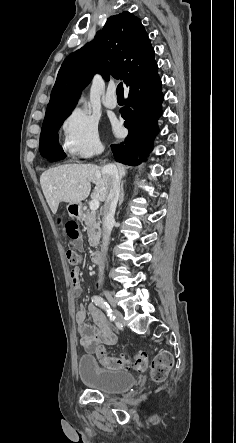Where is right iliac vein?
I'll return each mask as SVG.
<instances>
[{
  "label": "right iliac vein",
  "instance_id": "63e3f726",
  "mask_svg": "<svg viewBox=\"0 0 236 443\" xmlns=\"http://www.w3.org/2000/svg\"><path fill=\"white\" fill-rule=\"evenodd\" d=\"M114 314L118 320H120V321L123 320V315L121 312H119L118 310H114Z\"/></svg>",
  "mask_w": 236,
  "mask_h": 443
}]
</instances>
